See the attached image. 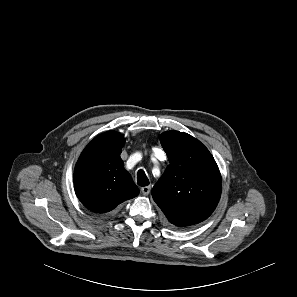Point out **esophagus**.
I'll return each mask as SVG.
<instances>
[{
	"label": "esophagus",
	"instance_id": "esophagus-1",
	"mask_svg": "<svg viewBox=\"0 0 297 297\" xmlns=\"http://www.w3.org/2000/svg\"><path fill=\"white\" fill-rule=\"evenodd\" d=\"M150 186H144V187H141V192L144 196H147L149 193H150Z\"/></svg>",
	"mask_w": 297,
	"mask_h": 297
}]
</instances>
